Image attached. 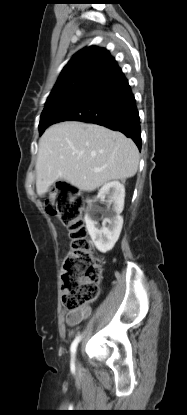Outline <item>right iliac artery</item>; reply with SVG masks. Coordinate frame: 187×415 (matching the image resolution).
Instances as JSON below:
<instances>
[{
  "instance_id": "obj_1",
  "label": "right iliac artery",
  "mask_w": 187,
  "mask_h": 415,
  "mask_svg": "<svg viewBox=\"0 0 187 415\" xmlns=\"http://www.w3.org/2000/svg\"><path fill=\"white\" fill-rule=\"evenodd\" d=\"M80 339H81V336L76 337L71 344L70 351H71V355L73 358L75 357L76 349H77L78 343L80 342ZM72 365H73V361H72Z\"/></svg>"
}]
</instances>
